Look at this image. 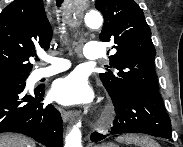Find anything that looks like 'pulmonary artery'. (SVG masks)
<instances>
[{
	"instance_id": "e3ab8cb5",
	"label": "pulmonary artery",
	"mask_w": 183,
	"mask_h": 147,
	"mask_svg": "<svg viewBox=\"0 0 183 147\" xmlns=\"http://www.w3.org/2000/svg\"><path fill=\"white\" fill-rule=\"evenodd\" d=\"M101 45L96 42H88L83 47V55L88 59H98L102 57ZM45 61L51 65L49 67L38 68L34 72V78L36 80L46 78L60 72L67 70L70 67V63L62 58L47 56Z\"/></svg>"
}]
</instances>
